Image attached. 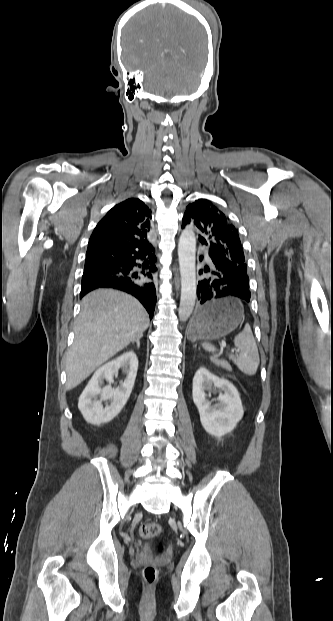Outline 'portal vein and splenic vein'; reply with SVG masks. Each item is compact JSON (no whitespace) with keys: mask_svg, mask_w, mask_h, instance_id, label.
Instances as JSON below:
<instances>
[{"mask_svg":"<svg viewBox=\"0 0 333 621\" xmlns=\"http://www.w3.org/2000/svg\"><path fill=\"white\" fill-rule=\"evenodd\" d=\"M221 346H222V349L226 347V343H225V341H223V342L221 343ZM232 352H234V350H232ZM235 352L237 353L238 351L236 350Z\"/></svg>","mask_w":333,"mask_h":621,"instance_id":"portal-vein-and-splenic-vein-1","label":"portal vein and splenic vein"}]
</instances>
